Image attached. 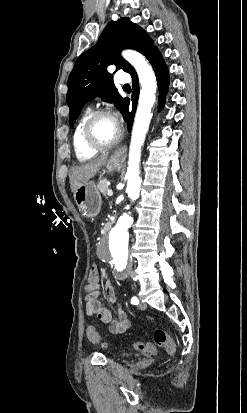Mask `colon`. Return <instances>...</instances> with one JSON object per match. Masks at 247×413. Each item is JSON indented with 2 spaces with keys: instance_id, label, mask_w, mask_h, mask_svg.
<instances>
[{
  "instance_id": "colon-1",
  "label": "colon",
  "mask_w": 247,
  "mask_h": 413,
  "mask_svg": "<svg viewBox=\"0 0 247 413\" xmlns=\"http://www.w3.org/2000/svg\"><path fill=\"white\" fill-rule=\"evenodd\" d=\"M101 275L96 274V263L92 264V269L88 270V282L90 284H95ZM85 336L95 344L100 343V336L97 329L94 326H87L85 329ZM152 341L156 342L155 346L151 343L136 342L134 343V348L143 351L148 355L155 353L156 347L165 348L166 355H178L179 348L176 342L170 339V335L163 330H154L152 335Z\"/></svg>"
}]
</instances>
